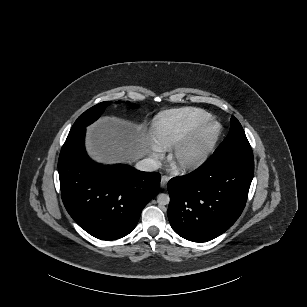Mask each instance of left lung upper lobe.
I'll return each mask as SVG.
<instances>
[{"mask_svg": "<svg viewBox=\"0 0 307 307\" xmlns=\"http://www.w3.org/2000/svg\"><path fill=\"white\" fill-rule=\"evenodd\" d=\"M225 155H243L253 157V153L245 132L235 117H231L229 134L214 151L212 157Z\"/></svg>", "mask_w": 307, "mask_h": 307, "instance_id": "5c2ea615", "label": "left lung upper lobe"}]
</instances>
